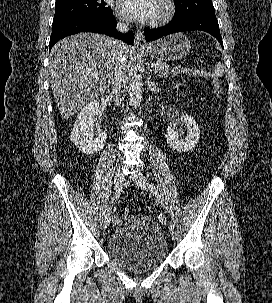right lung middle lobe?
I'll list each match as a JSON object with an SVG mask.
<instances>
[{
    "instance_id": "dd1d6c3e",
    "label": "right lung middle lobe",
    "mask_w": 272,
    "mask_h": 303,
    "mask_svg": "<svg viewBox=\"0 0 272 303\" xmlns=\"http://www.w3.org/2000/svg\"><path fill=\"white\" fill-rule=\"evenodd\" d=\"M103 0H60L55 3L53 23L79 15L108 16L113 12Z\"/></svg>"
}]
</instances>
